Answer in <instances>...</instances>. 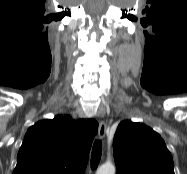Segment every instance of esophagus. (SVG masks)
I'll list each match as a JSON object with an SVG mask.
<instances>
[{
    "label": "esophagus",
    "mask_w": 187,
    "mask_h": 174,
    "mask_svg": "<svg viewBox=\"0 0 187 174\" xmlns=\"http://www.w3.org/2000/svg\"><path fill=\"white\" fill-rule=\"evenodd\" d=\"M106 135V124L104 121L99 122L98 136L100 139H103Z\"/></svg>",
    "instance_id": "obj_1"
}]
</instances>
